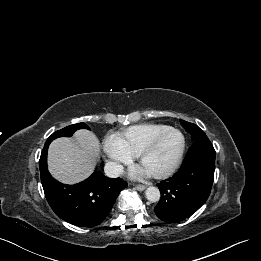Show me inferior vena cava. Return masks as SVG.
<instances>
[{"instance_id": "obj_1", "label": "inferior vena cava", "mask_w": 261, "mask_h": 261, "mask_svg": "<svg viewBox=\"0 0 261 261\" xmlns=\"http://www.w3.org/2000/svg\"><path fill=\"white\" fill-rule=\"evenodd\" d=\"M105 174L110 178H117L124 173V168L121 164L116 162H108L104 168Z\"/></svg>"}]
</instances>
